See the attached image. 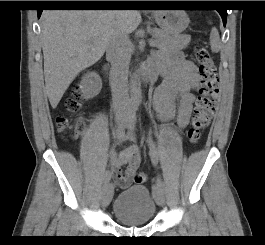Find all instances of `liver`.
Listing matches in <instances>:
<instances>
[{
	"mask_svg": "<svg viewBox=\"0 0 265 245\" xmlns=\"http://www.w3.org/2000/svg\"><path fill=\"white\" fill-rule=\"evenodd\" d=\"M138 10H46L41 16L45 88L53 109L75 77L104 55L114 32L130 34Z\"/></svg>",
	"mask_w": 265,
	"mask_h": 245,
	"instance_id": "1",
	"label": "liver"
}]
</instances>
